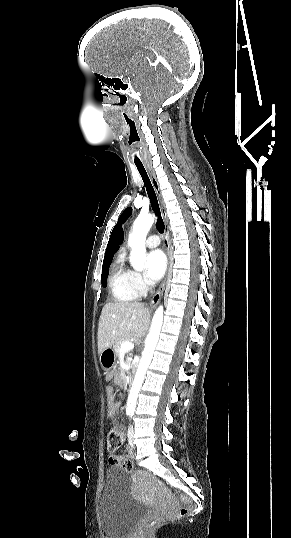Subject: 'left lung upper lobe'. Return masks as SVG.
I'll return each mask as SVG.
<instances>
[{
  "label": "left lung upper lobe",
  "mask_w": 291,
  "mask_h": 538,
  "mask_svg": "<svg viewBox=\"0 0 291 538\" xmlns=\"http://www.w3.org/2000/svg\"><path fill=\"white\" fill-rule=\"evenodd\" d=\"M131 213H132V208L131 207L125 209V211L122 213V215L120 216L118 221L119 222L120 221L124 222L131 215Z\"/></svg>",
  "instance_id": "left-lung-upper-lobe-1"
}]
</instances>
